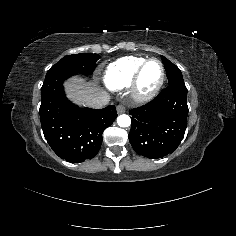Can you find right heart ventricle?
<instances>
[{
	"label": "right heart ventricle",
	"instance_id": "obj_1",
	"mask_svg": "<svg viewBox=\"0 0 236 236\" xmlns=\"http://www.w3.org/2000/svg\"><path fill=\"white\" fill-rule=\"evenodd\" d=\"M147 58L125 56L107 65L103 73L105 86L114 92L128 89L138 67Z\"/></svg>",
	"mask_w": 236,
	"mask_h": 236
}]
</instances>
